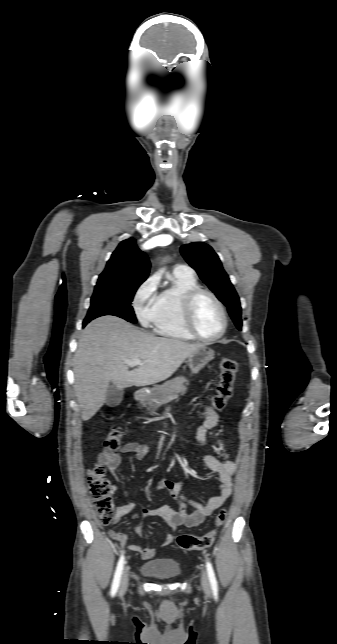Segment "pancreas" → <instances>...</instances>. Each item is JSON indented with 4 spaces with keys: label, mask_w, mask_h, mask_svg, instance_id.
I'll list each match as a JSON object with an SVG mask.
<instances>
[{
    "label": "pancreas",
    "mask_w": 337,
    "mask_h": 644,
    "mask_svg": "<svg viewBox=\"0 0 337 644\" xmlns=\"http://www.w3.org/2000/svg\"><path fill=\"white\" fill-rule=\"evenodd\" d=\"M188 380L184 377H177L165 382L162 385L155 386L151 389V394L147 395L144 401H148L147 406L149 410L155 411L161 405H164L174 399H178L179 395L186 393Z\"/></svg>",
    "instance_id": "1"
}]
</instances>
